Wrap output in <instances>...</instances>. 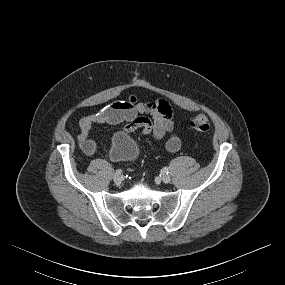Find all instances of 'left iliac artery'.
I'll return each instance as SVG.
<instances>
[{
  "label": "left iliac artery",
  "mask_w": 285,
  "mask_h": 285,
  "mask_svg": "<svg viewBox=\"0 0 285 285\" xmlns=\"http://www.w3.org/2000/svg\"><path fill=\"white\" fill-rule=\"evenodd\" d=\"M162 172H164V173H169V169L167 168V167H164L163 169H162Z\"/></svg>",
  "instance_id": "left-iliac-artery-1"
}]
</instances>
